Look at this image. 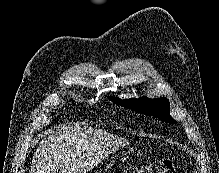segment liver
I'll use <instances>...</instances> for the list:
<instances>
[{
    "label": "liver",
    "instance_id": "1",
    "mask_svg": "<svg viewBox=\"0 0 219 173\" xmlns=\"http://www.w3.org/2000/svg\"><path fill=\"white\" fill-rule=\"evenodd\" d=\"M128 142L102 130L61 126L49 130L32 159L30 173H87Z\"/></svg>",
    "mask_w": 219,
    "mask_h": 173
}]
</instances>
